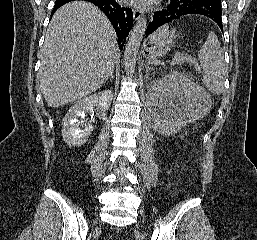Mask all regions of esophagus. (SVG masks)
Returning a JSON list of instances; mask_svg holds the SVG:
<instances>
[{
    "label": "esophagus",
    "mask_w": 257,
    "mask_h": 240,
    "mask_svg": "<svg viewBox=\"0 0 257 240\" xmlns=\"http://www.w3.org/2000/svg\"><path fill=\"white\" fill-rule=\"evenodd\" d=\"M143 11H141L140 9H134L133 10V17H134V20H139L142 16H143Z\"/></svg>",
    "instance_id": "34e87169"
}]
</instances>
